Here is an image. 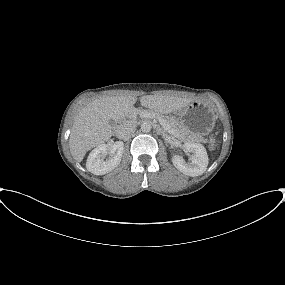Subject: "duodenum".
Returning a JSON list of instances; mask_svg holds the SVG:
<instances>
[{"instance_id":"obj_1","label":"duodenum","mask_w":285,"mask_h":285,"mask_svg":"<svg viewBox=\"0 0 285 285\" xmlns=\"http://www.w3.org/2000/svg\"><path fill=\"white\" fill-rule=\"evenodd\" d=\"M122 123H123V121L121 120V121H120V125H122ZM117 132H118V134L121 133V126L118 128V131H117Z\"/></svg>"}]
</instances>
